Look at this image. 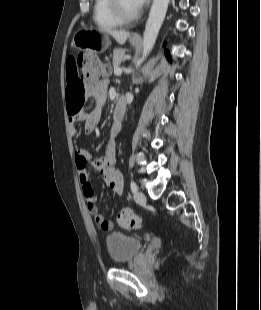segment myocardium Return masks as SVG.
<instances>
[{
	"label": "myocardium",
	"mask_w": 261,
	"mask_h": 310,
	"mask_svg": "<svg viewBox=\"0 0 261 310\" xmlns=\"http://www.w3.org/2000/svg\"><path fill=\"white\" fill-rule=\"evenodd\" d=\"M108 6L111 13L118 19L121 23L133 22L140 16V11L133 14H127L122 9L120 0H108Z\"/></svg>",
	"instance_id": "1"
}]
</instances>
